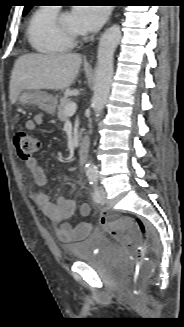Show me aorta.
Listing matches in <instances>:
<instances>
[{
	"instance_id": "obj_1",
	"label": "aorta",
	"mask_w": 184,
	"mask_h": 327,
	"mask_svg": "<svg viewBox=\"0 0 184 327\" xmlns=\"http://www.w3.org/2000/svg\"><path fill=\"white\" fill-rule=\"evenodd\" d=\"M121 39V28L113 25L102 35L97 52V71L94 93L91 100L95 117H99L107 102L113 78L114 52ZM86 175L90 179L98 177L97 167L89 161L85 166Z\"/></svg>"
}]
</instances>
